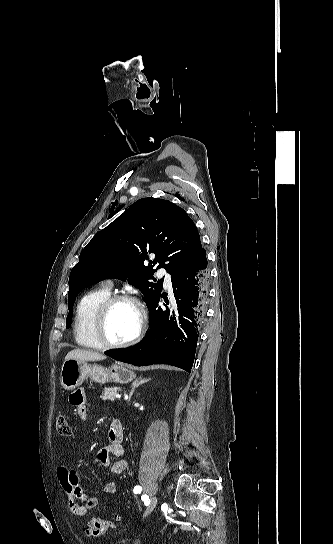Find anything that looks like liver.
<instances>
[{
	"label": "liver",
	"mask_w": 333,
	"mask_h": 544,
	"mask_svg": "<svg viewBox=\"0 0 333 544\" xmlns=\"http://www.w3.org/2000/svg\"><path fill=\"white\" fill-rule=\"evenodd\" d=\"M75 359L80 361H100L106 359V356L89 350L74 349L71 350L65 357V360Z\"/></svg>",
	"instance_id": "obj_1"
}]
</instances>
